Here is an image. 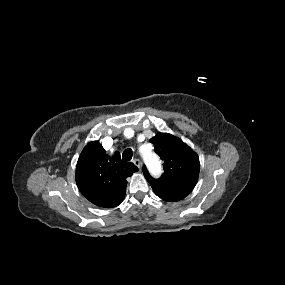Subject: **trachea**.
Here are the masks:
<instances>
[{"label": "trachea", "instance_id": "trachea-1", "mask_svg": "<svg viewBox=\"0 0 285 285\" xmlns=\"http://www.w3.org/2000/svg\"><path fill=\"white\" fill-rule=\"evenodd\" d=\"M132 156H133V151L132 149H126L123 154H122V158L123 160L125 161H129L132 159Z\"/></svg>", "mask_w": 285, "mask_h": 285}]
</instances>
